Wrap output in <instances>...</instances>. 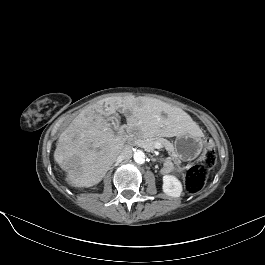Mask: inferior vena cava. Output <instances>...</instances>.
Listing matches in <instances>:
<instances>
[{
    "label": "inferior vena cava",
    "instance_id": "obj_1",
    "mask_svg": "<svg viewBox=\"0 0 265 265\" xmlns=\"http://www.w3.org/2000/svg\"><path fill=\"white\" fill-rule=\"evenodd\" d=\"M132 154L133 152L131 147L126 145L125 147H123L119 157L122 159H130L132 157Z\"/></svg>",
    "mask_w": 265,
    "mask_h": 265
}]
</instances>
